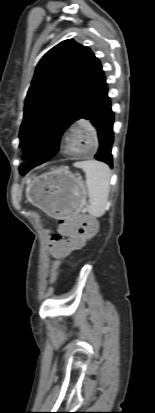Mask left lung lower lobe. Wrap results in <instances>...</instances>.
Listing matches in <instances>:
<instances>
[{
    "instance_id": "left-lung-lower-lobe-1",
    "label": "left lung lower lobe",
    "mask_w": 155,
    "mask_h": 413,
    "mask_svg": "<svg viewBox=\"0 0 155 413\" xmlns=\"http://www.w3.org/2000/svg\"><path fill=\"white\" fill-rule=\"evenodd\" d=\"M78 118L86 119L95 127L100 142L99 150L95 155V158L107 163L112 168L111 147L113 143L114 115L111 110V103L110 98L108 97V88L104 74L94 91L82 105ZM58 141H60V136L55 139V143Z\"/></svg>"
}]
</instances>
